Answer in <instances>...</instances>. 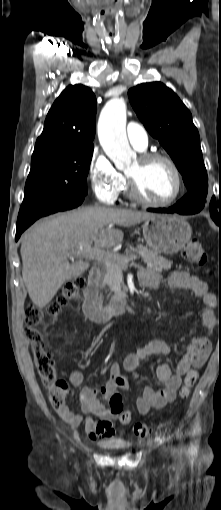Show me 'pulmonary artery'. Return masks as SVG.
<instances>
[{
  "label": "pulmonary artery",
  "instance_id": "obj_1",
  "mask_svg": "<svg viewBox=\"0 0 221 510\" xmlns=\"http://www.w3.org/2000/svg\"><path fill=\"white\" fill-rule=\"evenodd\" d=\"M126 133L131 145L143 151L148 145V134L146 130L136 122H129L126 128Z\"/></svg>",
  "mask_w": 221,
  "mask_h": 510
}]
</instances>
